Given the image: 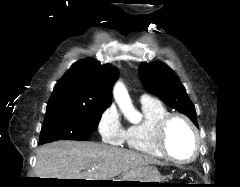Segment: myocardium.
I'll return each instance as SVG.
<instances>
[{"mask_svg": "<svg viewBox=\"0 0 240 187\" xmlns=\"http://www.w3.org/2000/svg\"><path fill=\"white\" fill-rule=\"evenodd\" d=\"M177 119L183 121L189 127L194 139V152L192 156L186 160H180L173 156L167 147L168 128L170 124ZM156 145L166 159L176 164H189L195 161L201 151V139L197 127L187 116L180 113H169L160 120L156 129Z\"/></svg>", "mask_w": 240, "mask_h": 187, "instance_id": "f54148a6", "label": "myocardium"}]
</instances>
